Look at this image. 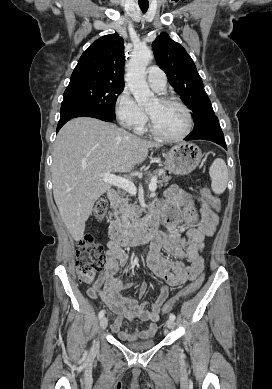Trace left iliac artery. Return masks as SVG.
<instances>
[{
    "mask_svg": "<svg viewBox=\"0 0 272 389\" xmlns=\"http://www.w3.org/2000/svg\"><path fill=\"white\" fill-rule=\"evenodd\" d=\"M175 318H176L175 315L173 313H171L170 316H169V319L174 321Z\"/></svg>",
    "mask_w": 272,
    "mask_h": 389,
    "instance_id": "left-iliac-artery-1",
    "label": "left iliac artery"
}]
</instances>
